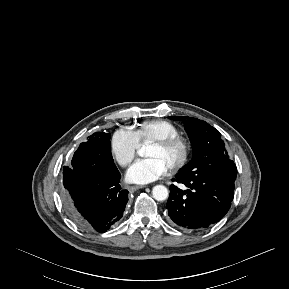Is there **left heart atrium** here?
<instances>
[{"instance_id":"1","label":"left heart atrium","mask_w":289,"mask_h":289,"mask_svg":"<svg viewBox=\"0 0 289 289\" xmlns=\"http://www.w3.org/2000/svg\"><path fill=\"white\" fill-rule=\"evenodd\" d=\"M167 172L164 164L155 158L136 162L127 172V180L133 183L146 184L155 181Z\"/></svg>"}]
</instances>
